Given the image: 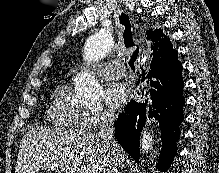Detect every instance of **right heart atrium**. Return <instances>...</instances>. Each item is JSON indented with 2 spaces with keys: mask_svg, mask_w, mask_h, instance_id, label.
Wrapping results in <instances>:
<instances>
[{
  "mask_svg": "<svg viewBox=\"0 0 219 173\" xmlns=\"http://www.w3.org/2000/svg\"><path fill=\"white\" fill-rule=\"evenodd\" d=\"M114 118L111 109L101 106L94 111L85 113V125L88 128H96L100 125L110 122Z\"/></svg>",
  "mask_w": 219,
  "mask_h": 173,
  "instance_id": "d8ad5b80",
  "label": "right heart atrium"
}]
</instances>
